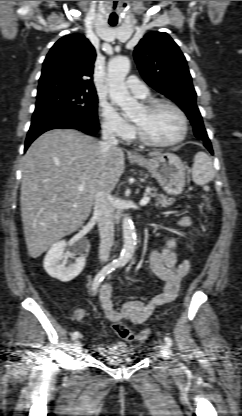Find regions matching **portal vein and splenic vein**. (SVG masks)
Returning <instances> with one entry per match:
<instances>
[{"label":"portal vein and splenic vein","mask_w":242,"mask_h":416,"mask_svg":"<svg viewBox=\"0 0 242 416\" xmlns=\"http://www.w3.org/2000/svg\"><path fill=\"white\" fill-rule=\"evenodd\" d=\"M78 190H79V191H83V190H84V186L80 185V186L78 187ZM149 201H150V197L145 196V197H143V198L141 199V201H140V205L144 206V205H146Z\"/></svg>","instance_id":"1"}]
</instances>
